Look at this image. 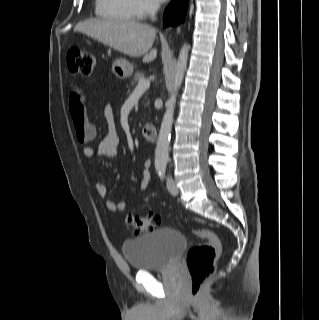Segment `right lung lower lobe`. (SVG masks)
<instances>
[{"instance_id": "1", "label": "right lung lower lobe", "mask_w": 319, "mask_h": 320, "mask_svg": "<svg viewBox=\"0 0 319 320\" xmlns=\"http://www.w3.org/2000/svg\"><path fill=\"white\" fill-rule=\"evenodd\" d=\"M188 1L189 0H175V2L169 4L163 15V24L165 27L169 25L175 26L184 21Z\"/></svg>"}]
</instances>
